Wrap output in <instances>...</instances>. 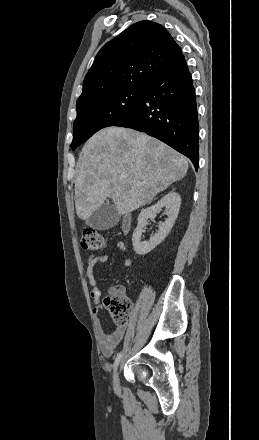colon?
<instances>
[{
    "instance_id": "1",
    "label": "colon",
    "mask_w": 259,
    "mask_h": 440,
    "mask_svg": "<svg viewBox=\"0 0 259 440\" xmlns=\"http://www.w3.org/2000/svg\"><path fill=\"white\" fill-rule=\"evenodd\" d=\"M105 243L104 237L98 230L91 227L83 228L81 235L83 249L99 250L105 246ZM103 304L119 328L127 323L132 312V303L122 294L120 288H111L109 294L104 298Z\"/></svg>"
}]
</instances>
